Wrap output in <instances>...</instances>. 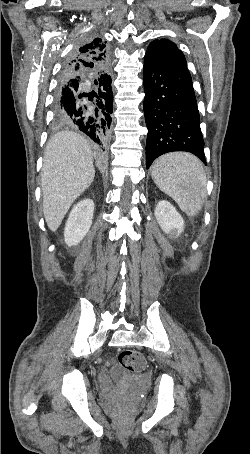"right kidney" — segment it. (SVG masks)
Wrapping results in <instances>:
<instances>
[{
    "label": "right kidney",
    "mask_w": 250,
    "mask_h": 454,
    "mask_svg": "<svg viewBox=\"0 0 250 454\" xmlns=\"http://www.w3.org/2000/svg\"><path fill=\"white\" fill-rule=\"evenodd\" d=\"M94 214V202L84 199L71 210L65 224L64 239L68 246L79 244L88 233Z\"/></svg>",
    "instance_id": "right-kidney-1"
}]
</instances>
